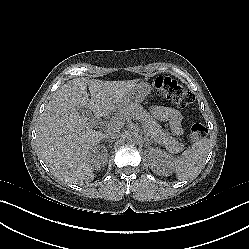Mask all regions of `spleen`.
<instances>
[{
  "instance_id": "3e777b00",
  "label": "spleen",
  "mask_w": 249,
  "mask_h": 249,
  "mask_svg": "<svg viewBox=\"0 0 249 249\" xmlns=\"http://www.w3.org/2000/svg\"><path fill=\"white\" fill-rule=\"evenodd\" d=\"M209 151V139H201L195 142L191 149L183 152L180 156L164 153L161 162L164 167L173 169L176 172L181 170L193 172L202 168Z\"/></svg>"
}]
</instances>
